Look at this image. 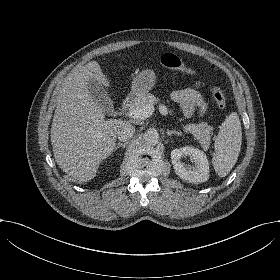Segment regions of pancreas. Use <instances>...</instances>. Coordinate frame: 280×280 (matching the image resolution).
Wrapping results in <instances>:
<instances>
[{
  "instance_id": "cf45deb5",
  "label": "pancreas",
  "mask_w": 280,
  "mask_h": 280,
  "mask_svg": "<svg viewBox=\"0 0 280 280\" xmlns=\"http://www.w3.org/2000/svg\"><path fill=\"white\" fill-rule=\"evenodd\" d=\"M158 99L151 94L143 95L138 97L131 103V109H139L145 107L147 104H156ZM183 129L187 133H192L195 136V139L200 141L201 145L205 150H208L211 142V135L213 128L208 126L207 123H200V124H189L184 125Z\"/></svg>"
}]
</instances>
